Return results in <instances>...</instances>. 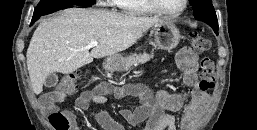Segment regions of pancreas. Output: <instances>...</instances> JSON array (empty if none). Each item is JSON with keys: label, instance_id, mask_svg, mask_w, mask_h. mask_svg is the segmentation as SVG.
I'll list each match as a JSON object with an SVG mask.
<instances>
[{"label": "pancreas", "instance_id": "cf45deb5", "mask_svg": "<svg viewBox=\"0 0 257 130\" xmlns=\"http://www.w3.org/2000/svg\"><path fill=\"white\" fill-rule=\"evenodd\" d=\"M151 58H153V55H149L146 53L132 54L124 59L123 69L128 70L131 67H136L139 64H144V63L148 62Z\"/></svg>", "mask_w": 257, "mask_h": 130}]
</instances>
